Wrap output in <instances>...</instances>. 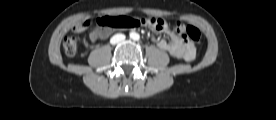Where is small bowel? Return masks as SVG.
I'll return each mask as SVG.
<instances>
[{"mask_svg": "<svg viewBox=\"0 0 276 120\" xmlns=\"http://www.w3.org/2000/svg\"><path fill=\"white\" fill-rule=\"evenodd\" d=\"M154 30L159 33H165L170 37V41H166L163 39L157 41V46L160 49L168 52L171 56L175 58L182 59L187 62L194 60L196 56V49L192 42L184 41L178 36H176L168 28L166 23L162 29L160 30L154 29ZM105 36H106V32L99 29H95L90 33V40L97 41Z\"/></svg>", "mask_w": 276, "mask_h": 120, "instance_id": "1", "label": "small bowel"}]
</instances>
